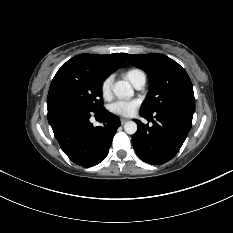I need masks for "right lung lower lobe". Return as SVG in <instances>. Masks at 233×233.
Here are the masks:
<instances>
[{"instance_id": "obj_1", "label": "right lung lower lobe", "mask_w": 233, "mask_h": 233, "mask_svg": "<svg viewBox=\"0 0 233 233\" xmlns=\"http://www.w3.org/2000/svg\"><path fill=\"white\" fill-rule=\"evenodd\" d=\"M93 113L102 116V126L94 127L89 121ZM48 122L64 153L82 167L97 165L106 158L120 126L119 118L105 108L91 112L72 105L49 106Z\"/></svg>"}]
</instances>
